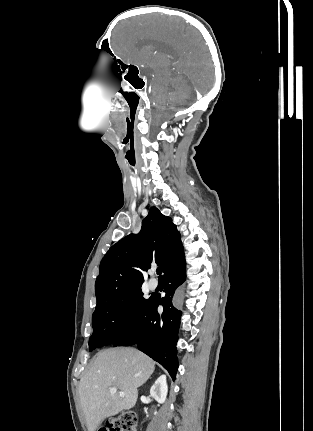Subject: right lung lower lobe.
Returning a JSON list of instances; mask_svg holds the SVG:
<instances>
[{
    "label": "right lung lower lobe",
    "instance_id": "obj_1",
    "mask_svg": "<svg viewBox=\"0 0 313 431\" xmlns=\"http://www.w3.org/2000/svg\"><path fill=\"white\" fill-rule=\"evenodd\" d=\"M185 279L186 263L182 250L164 274L165 297L151 296L136 324L112 343L114 347L137 344L140 351L167 369L173 379L178 369L176 343L182 314L174 306L173 298ZM159 305L164 307L162 314L157 312Z\"/></svg>",
    "mask_w": 313,
    "mask_h": 431
}]
</instances>
